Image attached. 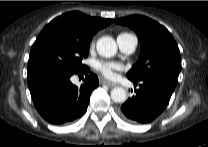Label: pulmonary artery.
I'll list each match as a JSON object with an SVG mask.
<instances>
[{
    "instance_id": "obj_1",
    "label": "pulmonary artery",
    "mask_w": 208,
    "mask_h": 147,
    "mask_svg": "<svg viewBox=\"0 0 208 147\" xmlns=\"http://www.w3.org/2000/svg\"><path fill=\"white\" fill-rule=\"evenodd\" d=\"M117 43L120 50L125 54H131L135 51L138 40L137 38L129 33H123L118 36Z\"/></svg>"
}]
</instances>
